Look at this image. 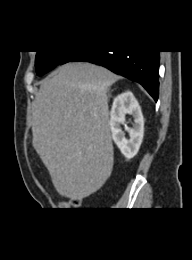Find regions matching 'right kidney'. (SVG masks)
I'll return each instance as SVG.
<instances>
[{"label":"right kidney","mask_w":192,"mask_h":260,"mask_svg":"<svg viewBox=\"0 0 192 260\" xmlns=\"http://www.w3.org/2000/svg\"><path fill=\"white\" fill-rule=\"evenodd\" d=\"M132 115L134 124L132 128L127 127L125 123V115ZM110 129L115 144L121 153L127 158H133L142 143L144 134V119L141 108L131 92H125L118 95L111 108ZM121 124L125 125V130L129 133L130 139L125 138L124 132L121 130Z\"/></svg>","instance_id":"1"}]
</instances>
